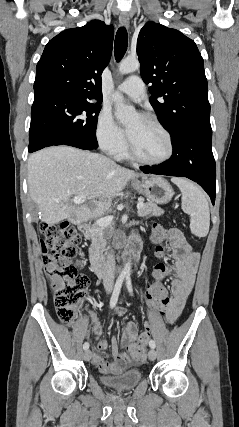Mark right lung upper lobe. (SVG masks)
Returning a JSON list of instances; mask_svg holds the SVG:
<instances>
[{"label": "right lung upper lobe", "mask_w": 239, "mask_h": 427, "mask_svg": "<svg viewBox=\"0 0 239 427\" xmlns=\"http://www.w3.org/2000/svg\"><path fill=\"white\" fill-rule=\"evenodd\" d=\"M114 28L93 20L51 39L36 67L34 99L69 97L102 101L101 74L109 63Z\"/></svg>", "instance_id": "1"}]
</instances>
